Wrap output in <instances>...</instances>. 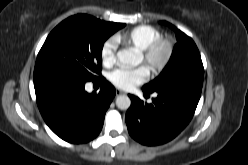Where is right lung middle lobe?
<instances>
[{
  "instance_id": "1",
  "label": "right lung middle lobe",
  "mask_w": 248,
  "mask_h": 165,
  "mask_svg": "<svg viewBox=\"0 0 248 165\" xmlns=\"http://www.w3.org/2000/svg\"><path fill=\"white\" fill-rule=\"evenodd\" d=\"M124 26L123 23L101 26L81 15L67 18L52 30L40 49L34 80L55 74L83 81L97 80L102 69L104 42Z\"/></svg>"
}]
</instances>
